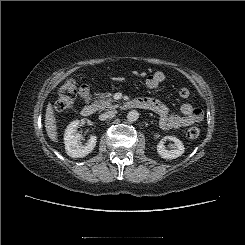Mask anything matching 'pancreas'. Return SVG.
Listing matches in <instances>:
<instances>
[{
    "mask_svg": "<svg viewBox=\"0 0 245 245\" xmlns=\"http://www.w3.org/2000/svg\"><path fill=\"white\" fill-rule=\"evenodd\" d=\"M115 100L112 98L100 99L95 101L94 106L98 110H114L118 108V104H114Z\"/></svg>",
    "mask_w": 245,
    "mask_h": 245,
    "instance_id": "obj_1",
    "label": "pancreas"
}]
</instances>
